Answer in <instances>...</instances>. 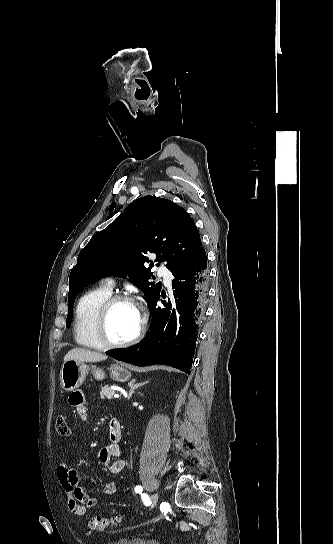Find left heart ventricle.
Masks as SVG:
<instances>
[{
	"mask_svg": "<svg viewBox=\"0 0 333 544\" xmlns=\"http://www.w3.org/2000/svg\"><path fill=\"white\" fill-rule=\"evenodd\" d=\"M140 325V313L136 306L129 303L117 304L111 311L107 330L113 341H124L132 337Z\"/></svg>",
	"mask_w": 333,
	"mask_h": 544,
	"instance_id": "left-heart-ventricle-1",
	"label": "left heart ventricle"
}]
</instances>
